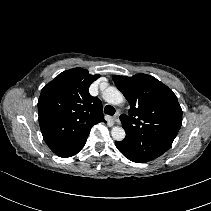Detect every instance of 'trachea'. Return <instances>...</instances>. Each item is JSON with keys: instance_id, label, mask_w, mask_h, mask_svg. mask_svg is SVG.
<instances>
[{"instance_id": "1", "label": "trachea", "mask_w": 211, "mask_h": 211, "mask_svg": "<svg viewBox=\"0 0 211 211\" xmlns=\"http://www.w3.org/2000/svg\"><path fill=\"white\" fill-rule=\"evenodd\" d=\"M104 113L112 116L115 114V108L111 105H106L104 108Z\"/></svg>"}]
</instances>
